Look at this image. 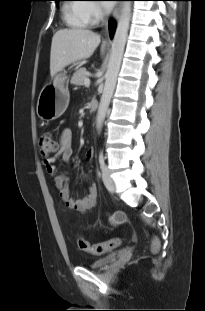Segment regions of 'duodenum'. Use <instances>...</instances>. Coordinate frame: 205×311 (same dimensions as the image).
<instances>
[{
	"mask_svg": "<svg viewBox=\"0 0 205 311\" xmlns=\"http://www.w3.org/2000/svg\"><path fill=\"white\" fill-rule=\"evenodd\" d=\"M98 109V102L97 101H92L90 103V110L91 112H96Z\"/></svg>",
	"mask_w": 205,
	"mask_h": 311,
	"instance_id": "1",
	"label": "duodenum"
}]
</instances>
